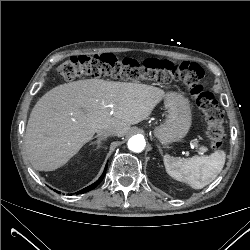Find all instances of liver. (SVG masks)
<instances>
[{
    "label": "liver",
    "instance_id": "6515ba94",
    "mask_svg": "<svg viewBox=\"0 0 250 250\" xmlns=\"http://www.w3.org/2000/svg\"><path fill=\"white\" fill-rule=\"evenodd\" d=\"M165 97L145 84L86 79L48 91L31 111L25 150L32 166L53 171L66 164L99 130L118 137L148 117Z\"/></svg>",
    "mask_w": 250,
    "mask_h": 250
}]
</instances>
